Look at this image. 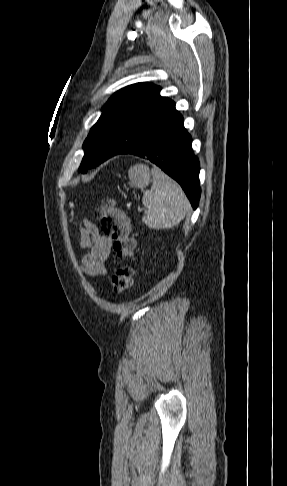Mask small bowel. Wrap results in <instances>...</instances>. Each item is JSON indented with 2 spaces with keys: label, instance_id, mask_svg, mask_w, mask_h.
Instances as JSON below:
<instances>
[{
  "label": "small bowel",
  "instance_id": "obj_1",
  "mask_svg": "<svg viewBox=\"0 0 287 486\" xmlns=\"http://www.w3.org/2000/svg\"><path fill=\"white\" fill-rule=\"evenodd\" d=\"M79 232V244L85 250L80 263L81 271L88 276H105L106 263L112 257L111 240L87 218L80 220Z\"/></svg>",
  "mask_w": 287,
  "mask_h": 486
}]
</instances>
